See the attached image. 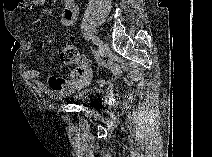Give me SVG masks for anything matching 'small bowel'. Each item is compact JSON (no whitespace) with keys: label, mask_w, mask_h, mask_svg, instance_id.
<instances>
[{"label":"small bowel","mask_w":212,"mask_h":157,"mask_svg":"<svg viewBox=\"0 0 212 157\" xmlns=\"http://www.w3.org/2000/svg\"><path fill=\"white\" fill-rule=\"evenodd\" d=\"M36 2V1H35ZM30 7V3L25 0H6L5 8L10 13H15L22 9H27ZM78 16V7L74 0H65L63 2L62 15H61V25L64 27H70L74 24ZM26 50L32 48V42L27 41L25 43ZM25 76L27 79L33 81L38 87L46 90L49 94L55 97H63L72 91H75L83 87L87 80L91 76V71L87 78L84 80H78L74 77H63L50 75L47 79V82L41 81V70L39 68H30L25 70Z\"/></svg>","instance_id":"obj_1"}]
</instances>
